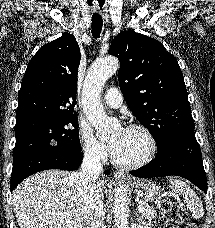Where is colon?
Returning a JSON list of instances; mask_svg holds the SVG:
<instances>
[{
	"instance_id": "5ec220e1",
	"label": "colon",
	"mask_w": 215,
	"mask_h": 228,
	"mask_svg": "<svg viewBox=\"0 0 215 228\" xmlns=\"http://www.w3.org/2000/svg\"><path fill=\"white\" fill-rule=\"evenodd\" d=\"M159 211L165 218L161 228H177L184 221V215L178 204L170 197L163 196L158 204ZM186 228H199V225H186Z\"/></svg>"
}]
</instances>
